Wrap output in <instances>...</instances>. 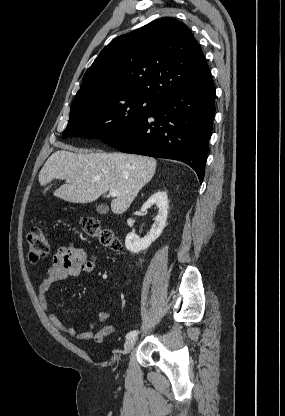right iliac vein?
I'll return each mask as SVG.
<instances>
[{
	"mask_svg": "<svg viewBox=\"0 0 285 416\" xmlns=\"http://www.w3.org/2000/svg\"><path fill=\"white\" fill-rule=\"evenodd\" d=\"M136 344V338L128 339L124 344V353L128 354Z\"/></svg>",
	"mask_w": 285,
	"mask_h": 416,
	"instance_id": "right-iliac-vein-1",
	"label": "right iliac vein"
}]
</instances>
